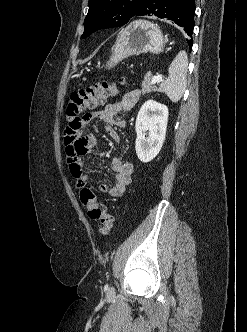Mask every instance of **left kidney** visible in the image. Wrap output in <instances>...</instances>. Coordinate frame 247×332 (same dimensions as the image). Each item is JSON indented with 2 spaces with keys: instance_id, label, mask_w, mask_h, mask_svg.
<instances>
[{
  "instance_id": "1",
  "label": "left kidney",
  "mask_w": 247,
  "mask_h": 332,
  "mask_svg": "<svg viewBox=\"0 0 247 332\" xmlns=\"http://www.w3.org/2000/svg\"><path fill=\"white\" fill-rule=\"evenodd\" d=\"M168 114L167 106L154 100L146 101L140 108L135 125V149L141 162H150L160 152L165 140Z\"/></svg>"
}]
</instances>
